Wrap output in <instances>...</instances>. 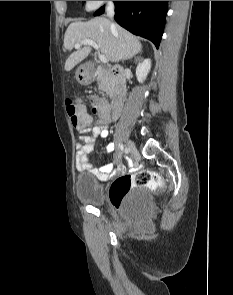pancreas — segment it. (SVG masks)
Instances as JSON below:
<instances>
[{
    "mask_svg": "<svg viewBox=\"0 0 233 295\" xmlns=\"http://www.w3.org/2000/svg\"><path fill=\"white\" fill-rule=\"evenodd\" d=\"M98 88L107 94V96L112 97L115 93V79L112 76L105 74H99L98 78Z\"/></svg>",
    "mask_w": 233,
    "mask_h": 295,
    "instance_id": "cf45deb5",
    "label": "pancreas"
}]
</instances>
